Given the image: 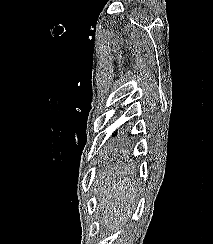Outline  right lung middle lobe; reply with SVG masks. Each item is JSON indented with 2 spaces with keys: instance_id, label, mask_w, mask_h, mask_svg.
I'll return each mask as SVG.
<instances>
[{
  "instance_id": "dd1d6c3e",
  "label": "right lung middle lobe",
  "mask_w": 213,
  "mask_h": 244,
  "mask_svg": "<svg viewBox=\"0 0 213 244\" xmlns=\"http://www.w3.org/2000/svg\"><path fill=\"white\" fill-rule=\"evenodd\" d=\"M117 135V133L116 134H113V137H115Z\"/></svg>"
}]
</instances>
